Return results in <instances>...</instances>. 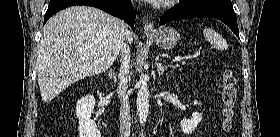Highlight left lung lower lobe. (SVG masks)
<instances>
[{
	"instance_id": "0a47b994",
	"label": "left lung lower lobe",
	"mask_w": 280,
	"mask_h": 137,
	"mask_svg": "<svg viewBox=\"0 0 280 137\" xmlns=\"http://www.w3.org/2000/svg\"><path fill=\"white\" fill-rule=\"evenodd\" d=\"M190 17L216 18L224 22L239 38L236 14L232 2L228 0L187 1L186 4L173 7L164 13L159 25Z\"/></svg>"
}]
</instances>
